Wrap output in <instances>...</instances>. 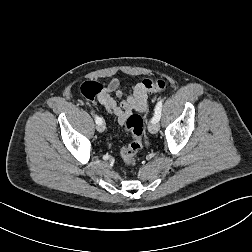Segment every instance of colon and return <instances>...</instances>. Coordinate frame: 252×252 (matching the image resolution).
Listing matches in <instances>:
<instances>
[{"instance_id":"colon-1","label":"colon","mask_w":252,"mask_h":252,"mask_svg":"<svg viewBox=\"0 0 252 252\" xmlns=\"http://www.w3.org/2000/svg\"><path fill=\"white\" fill-rule=\"evenodd\" d=\"M141 83L150 92L163 91L166 88V82L162 79L146 78ZM101 91L102 86L96 81H86L81 85V94L89 100L98 98ZM125 129L132 134V141L121 150V158L127 166H133L135 156L142 148L144 133L142 118L137 114H132L126 120Z\"/></svg>"}]
</instances>
